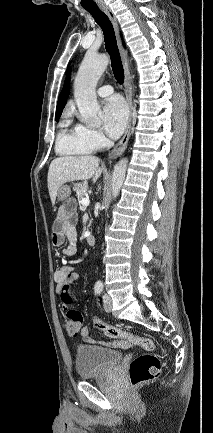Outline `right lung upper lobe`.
Segmentation results:
<instances>
[{
    "mask_svg": "<svg viewBox=\"0 0 213 433\" xmlns=\"http://www.w3.org/2000/svg\"><path fill=\"white\" fill-rule=\"evenodd\" d=\"M69 81H70V71H68V74L65 79L64 87L58 98L57 107H56V120L60 118L62 110L64 109V106L66 104L67 98L70 94Z\"/></svg>",
    "mask_w": 213,
    "mask_h": 433,
    "instance_id": "1",
    "label": "right lung upper lobe"
}]
</instances>
